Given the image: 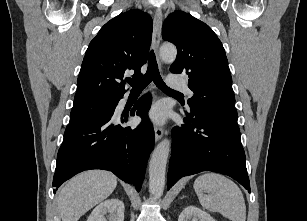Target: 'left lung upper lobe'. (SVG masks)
I'll list each match as a JSON object with an SVG mask.
<instances>
[{
  "mask_svg": "<svg viewBox=\"0 0 307 221\" xmlns=\"http://www.w3.org/2000/svg\"><path fill=\"white\" fill-rule=\"evenodd\" d=\"M163 39L178 49L170 71L189 77L188 87L194 92L188 100L191 114L207 113L239 129L227 57L213 30L190 14L178 11L164 21Z\"/></svg>",
  "mask_w": 307,
  "mask_h": 221,
  "instance_id": "5c2ea615",
  "label": "left lung upper lobe"
}]
</instances>
